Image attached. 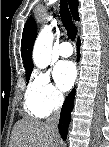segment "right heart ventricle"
<instances>
[{"label": "right heart ventricle", "instance_id": "1", "mask_svg": "<svg viewBox=\"0 0 109 147\" xmlns=\"http://www.w3.org/2000/svg\"><path fill=\"white\" fill-rule=\"evenodd\" d=\"M26 109L27 111L35 116V117H43L45 116L42 111L40 110V108L35 105L34 103L30 102L29 100L26 101Z\"/></svg>", "mask_w": 109, "mask_h": 147}]
</instances>
